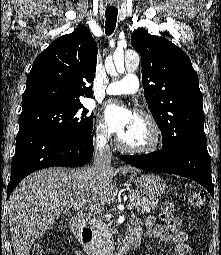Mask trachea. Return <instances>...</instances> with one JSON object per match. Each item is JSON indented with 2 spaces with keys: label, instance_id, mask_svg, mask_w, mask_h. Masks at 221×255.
<instances>
[{
  "label": "trachea",
  "instance_id": "3493384b",
  "mask_svg": "<svg viewBox=\"0 0 221 255\" xmlns=\"http://www.w3.org/2000/svg\"><path fill=\"white\" fill-rule=\"evenodd\" d=\"M118 9L108 8L105 11L106 21H105V33L111 35L116 27Z\"/></svg>",
  "mask_w": 221,
  "mask_h": 255
}]
</instances>
